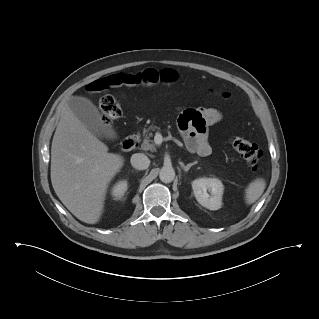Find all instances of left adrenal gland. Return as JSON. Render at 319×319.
<instances>
[{"mask_svg": "<svg viewBox=\"0 0 319 319\" xmlns=\"http://www.w3.org/2000/svg\"><path fill=\"white\" fill-rule=\"evenodd\" d=\"M197 162L189 163L187 165H184L183 163L181 164V168L187 172L193 165H195Z\"/></svg>", "mask_w": 319, "mask_h": 319, "instance_id": "left-adrenal-gland-1", "label": "left adrenal gland"}]
</instances>
